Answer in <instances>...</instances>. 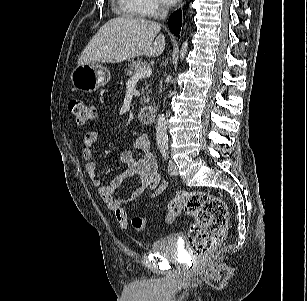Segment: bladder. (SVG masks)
<instances>
[{
	"instance_id": "1",
	"label": "bladder",
	"mask_w": 307,
	"mask_h": 301,
	"mask_svg": "<svg viewBox=\"0 0 307 301\" xmlns=\"http://www.w3.org/2000/svg\"><path fill=\"white\" fill-rule=\"evenodd\" d=\"M181 238L179 233H170L156 238L151 244V251L169 259L178 258V241Z\"/></svg>"
}]
</instances>
